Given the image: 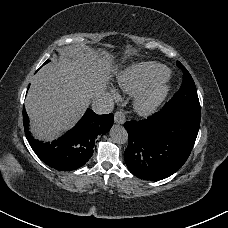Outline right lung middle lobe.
<instances>
[{
  "label": "right lung middle lobe",
  "instance_id": "1",
  "mask_svg": "<svg viewBox=\"0 0 228 228\" xmlns=\"http://www.w3.org/2000/svg\"><path fill=\"white\" fill-rule=\"evenodd\" d=\"M48 62H50V60H47L44 64H46V63H48ZM44 64H43V65H44Z\"/></svg>",
  "mask_w": 228,
  "mask_h": 228
}]
</instances>
